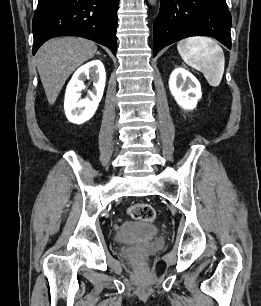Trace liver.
<instances>
[{"label": "liver", "mask_w": 261, "mask_h": 306, "mask_svg": "<svg viewBox=\"0 0 261 306\" xmlns=\"http://www.w3.org/2000/svg\"><path fill=\"white\" fill-rule=\"evenodd\" d=\"M97 52L94 42L77 37L55 38L37 52V69L49 104L53 105L68 77Z\"/></svg>", "instance_id": "6515ba94"}]
</instances>
